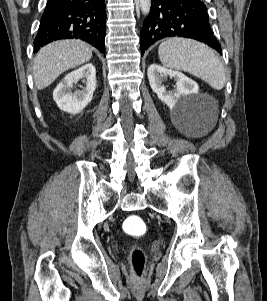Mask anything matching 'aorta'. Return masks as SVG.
I'll return each mask as SVG.
<instances>
[{
    "label": "aorta",
    "mask_w": 267,
    "mask_h": 301,
    "mask_svg": "<svg viewBox=\"0 0 267 301\" xmlns=\"http://www.w3.org/2000/svg\"><path fill=\"white\" fill-rule=\"evenodd\" d=\"M140 8L144 15H148L151 9V0H139Z\"/></svg>",
    "instance_id": "aorta-1"
}]
</instances>
